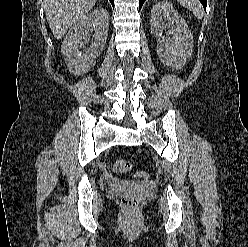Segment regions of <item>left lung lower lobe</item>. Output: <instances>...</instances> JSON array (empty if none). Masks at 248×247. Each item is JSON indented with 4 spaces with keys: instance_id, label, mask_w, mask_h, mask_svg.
I'll list each match as a JSON object with an SVG mask.
<instances>
[{
    "instance_id": "1",
    "label": "left lung lower lobe",
    "mask_w": 248,
    "mask_h": 247,
    "mask_svg": "<svg viewBox=\"0 0 248 247\" xmlns=\"http://www.w3.org/2000/svg\"><path fill=\"white\" fill-rule=\"evenodd\" d=\"M199 1L202 3L204 9L206 10L207 0H199ZM144 2H145V0H140L139 1V9H141V7H142Z\"/></svg>"
}]
</instances>
